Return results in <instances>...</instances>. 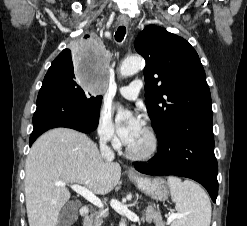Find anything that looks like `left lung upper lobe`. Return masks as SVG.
<instances>
[{
  "mask_svg": "<svg viewBox=\"0 0 247 226\" xmlns=\"http://www.w3.org/2000/svg\"><path fill=\"white\" fill-rule=\"evenodd\" d=\"M135 49L146 60V105L158 137L196 112L212 111L203 66L188 41L150 25L137 36Z\"/></svg>",
  "mask_w": 247,
  "mask_h": 226,
  "instance_id": "obj_1",
  "label": "left lung upper lobe"
}]
</instances>
